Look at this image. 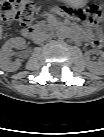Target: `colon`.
<instances>
[{"mask_svg": "<svg viewBox=\"0 0 104 137\" xmlns=\"http://www.w3.org/2000/svg\"><path fill=\"white\" fill-rule=\"evenodd\" d=\"M0 10L7 22L25 26L30 24L34 18L35 5L31 0H1ZM67 11L77 14L82 20L93 24H98L101 21V11L96 6L77 11L67 9ZM92 43L96 47L102 45V30L98 29L94 33Z\"/></svg>", "mask_w": 104, "mask_h": 137, "instance_id": "colon-1", "label": "colon"}]
</instances>
